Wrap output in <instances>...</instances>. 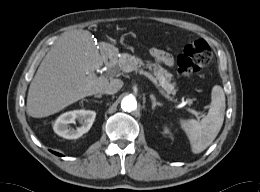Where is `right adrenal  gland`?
I'll return each instance as SVG.
<instances>
[{"label": "right adrenal gland", "instance_id": "1", "mask_svg": "<svg viewBox=\"0 0 260 192\" xmlns=\"http://www.w3.org/2000/svg\"><path fill=\"white\" fill-rule=\"evenodd\" d=\"M94 97H95V98H101V97H102V94L95 95Z\"/></svg>", "mask_w": 260, "mask_h": 192}]
</instances>
